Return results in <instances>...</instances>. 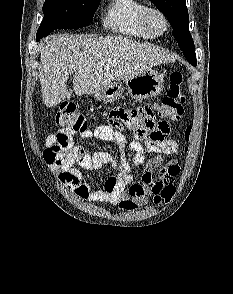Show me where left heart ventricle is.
Returning a JSON list of instances; mask_svg holds the SVG:
<instances>
[{"mask_svg":"<svg viewBox=\"0 0 233 294\" xmlns=\"http://www.w3.org/2000/svg\"><path fill=\"white\" fill-rule=\"evenodd\" d=\"M152 22L156 29L160 30L162 28V23L158 18H153Z\"/></svg>","mask_w":233,"mask_h":294,"instance_id":"left-heart-ventricle-1","label":"left heart ventricle"}]
</instances>
